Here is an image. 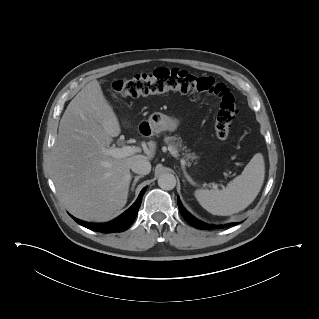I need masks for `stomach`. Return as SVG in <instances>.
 <instances>
[{
  "mask_svg": "<svg viewBox=\"0 0 319 319\" xmlns=\"http://www.w3.org/2000/svg\"><path fill=\"white\" fill-rule=\"evenodd\" d=\"M147 123L151 134H157L162 131L174 132L179 125V120L160 112H154L150 115Z\"/></svg>",
  "mask_w": 319,
  "mask_h": 319,
  "instance_id": "1",
  "label": "stomach"
}]
</instances>
